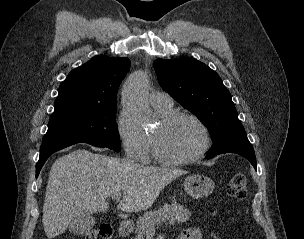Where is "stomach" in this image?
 I'll return each mask as SVG.
<instances>
[{
  "instance_id": "1",
  "label": "stomach",
  "mask_w": 304,
  "mask_h": 239,
  "mask_svg": "<svg viewBox=\"0 0 304 239\" xmlns=\"http://www.w3.org/2000/svg\"><path fill=\"white\" fill-rule=\"evenodd\" d=\"M184 190L194 198H202L211 194L215 188L213 180L201 174H192L185 178Z\"/></svg>"
}]
</instances>
